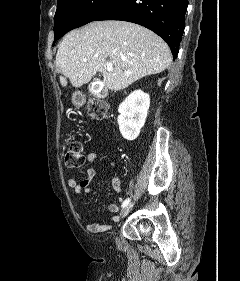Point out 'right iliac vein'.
<instances>
[{
	"label": "right iliac vein",
	"mask_w": 240,
	"mask_h": 281,
	"mask_svg": "<svg viewBox=\"0 0 240 281\" xmlns=\"http://www.w3.org/2000/svg\"><path fill=\"white\" fill-rule=\"evenodd\" d=\"M132 207H133V204H129L126 207H124L120 212V217L124 218L125 216H127L128 213L131 211ZM116 241H117V243H119L118 239H116Z\"/></svg>",
	"instance_id": "obj_1"
}]
</instances>
